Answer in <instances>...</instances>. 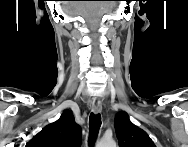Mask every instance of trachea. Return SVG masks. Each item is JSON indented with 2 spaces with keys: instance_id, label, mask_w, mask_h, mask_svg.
Segmentation results:
<instances>
[{
  "instance_id": "3493384b",
  "label": "trachea",
  "mask_w": 188,
  "mask_h": 147,
  "mask_svg": "<svg viewBox=\"0 0 188 147\" xmlns=\"http://www.w3.org/2000/svg\"><path fill=\"white\" fill-rule=\"evenodd\" d=\"M89 125H90V134H89V145L93 146L96 137L98 135L99 128L101 126V116L100 114L91 113L89 117Z\"/></svg>"
}]
</instances>
